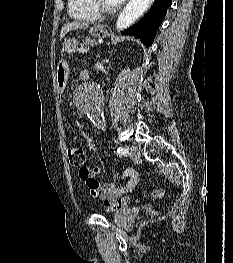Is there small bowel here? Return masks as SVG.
<instances>
[{
    "instance_id": "1",
    "label": "small bowel",
    "mask_w": 233,
    "mask_h": 263,
    "mask_svg": "<svg viewBox=\"0 0 233 263\" xmlns=\"http://www.w3.org/2000/svg\"><path fill=\"white\" fill-rule=\"evenodd\" d=\"M88 169V176L80 177L86 182L90 194L95 198H100L104 201V205L107 211H118L128 205V198L124 196L130 192L138 182V174L133 169H126L124 176L128 179L125 186H117L112 183L102 182L98 174L100 168L94 167Z\"/></svg>"
}]
</instances>
